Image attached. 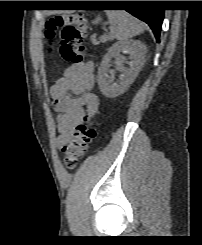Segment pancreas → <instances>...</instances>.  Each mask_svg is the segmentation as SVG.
I'll use <instances>...</instances> for the list:
<instances>
[{
    "instance_id": "obj_1",
    "label": "pancreas",
    "mask_w": 202,
    "mask_h": 245,
    "mask_svg": "<svg viewBox=\"0 0 202 245\" xmlns=\"http://www.w3.org/2000/svg\"><path fill=\"white\" fill-rule=\"evenodd\" d=\"M112 37L107 36L106 38H100V41H97L95 36L91 37V41L94 45H98L100 42H106L107 40L111 39Z\"/></svg>"
}]
</instances>
